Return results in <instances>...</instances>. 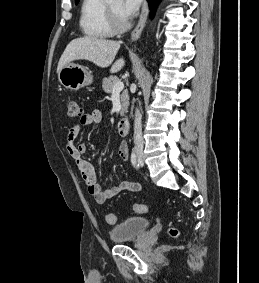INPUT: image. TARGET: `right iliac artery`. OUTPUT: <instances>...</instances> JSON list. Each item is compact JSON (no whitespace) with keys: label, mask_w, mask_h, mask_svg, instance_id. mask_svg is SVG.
Returning a JSON list of instances; mask_svg holds the SVG:
<instances>
[{"label":"right iliac artery","mask_w":259,"mask_h":283,"mask_svg":"<svg viewBox=\"0 0 259 283\" xmlns=\"http://www.w3.org/2000/svg\"><path fill=\"white\" fill-rule=\"evenodd\" d=\"M131 163H132V165H133L136 169L139 168V164H138V162H137L135 150H133V151H132V154H131Z\"/></svg>","instance_id":"obj_1"}]
</instances>
